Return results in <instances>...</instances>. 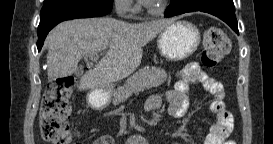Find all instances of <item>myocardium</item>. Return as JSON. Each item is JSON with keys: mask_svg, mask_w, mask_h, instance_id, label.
I'll return each instance as SVG.
<instances>
[{"mask_svg": "<svg viewBox=\"0 0 273 144\" xmlns=\"http://www.w3.org/2000/svg\"><path fill=\"white\" fill-rule=\"evenodd\" d=\"M170 2L171 0H162V1H159V4L156 7L146 5V9L150 13L159 14L166 10Z\"/></svg>", "mask_w": 273, "mask_h": 144, "instance_id": "f54148a6", "label": "myocardium"}]
</instances>
